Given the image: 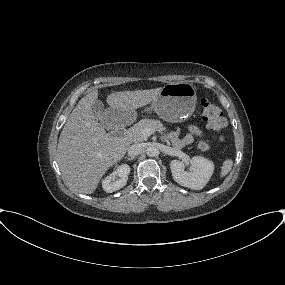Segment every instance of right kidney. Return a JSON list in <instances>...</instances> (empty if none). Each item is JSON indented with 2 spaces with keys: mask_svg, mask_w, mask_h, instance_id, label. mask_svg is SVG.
Wrapping results in <instances>:
<instances>
[{
  "mask_svg": "<svg viewBox=\"0 0 285 285\" xmlns=\"http://www.w3.org/2000/svg\"><path fill=\"white\" fill-rule=\"evenodd\" d=\"M130 170L131 168L127 164L119 166L115 172L103 179L102 188L104 191L112 193L124 187L127 183ZM117 177H119V179H117Z\"/></svg>",
  "mask_w": 285,
  "mask_h": 285,
  "instance_id": "right-kidney-1",
  "label": "right kidney"
}]
</instances>
